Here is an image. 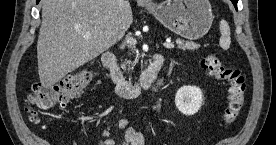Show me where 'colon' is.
<instances>
[{
  "label": "colon",
  "instance_id": "obj_1",
  "mask_svg": "<svg viewBox=\"0 0 276 145\" xmlns=\"http://www.w3.org/2000/svg\"><path fill=\"white\" fill-rule=\"evenodd\" d=\"M201 66L211 76L227 84L228 104L224 121L226 124L233 123L245 102L247 87L243 74L238 69L224 67L216 54L204 57ZM91 80V73L83 71L65 76L51 86L34 83L26 103L32 120L36 123L40 122L43 111L64 105L79 96L87 89Z\"/></svg>",
  "mask_w": 276,
  "mask_h": 145
}]
</instances>
